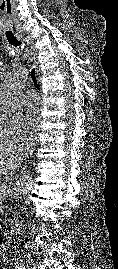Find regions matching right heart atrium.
<instances>
[{
  "label": "right heart atrium",
  "mask_w": 118,
  "mask_h": 269,
  "mask_svg": "<svg viewBox=\"0 0 118 269\" xmlns=\"http://www.w3.org/2000/svg\"><path fill=\"white\" fill-rule=\"evenodd\" d=\"M29 136L20 116L6 118L0 114V139L6 140V143L21 144L27 141Z\"/></svg>",
  "instance_id": "obj_1"
}]
</instances>
